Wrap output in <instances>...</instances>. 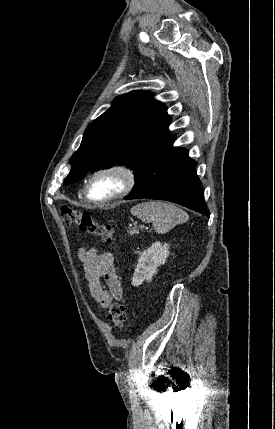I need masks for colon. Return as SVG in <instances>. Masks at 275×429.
<instances>
[{
	"instance_id": "colon-1",
	"label": "colon",
	"mask_w": 275,
	"mask_h": 429,
	"mask_svg": "<svg viewBox=\"0 0 275 429\" xmlns=\"http://www.w3.org/2000/svg\"><path fill=\"white\" fill-rule=\"evenodd\" d=\"M61 217L67 227H77L80 231L91 234L105 243L113 239V228L109 224L96 221L88 212L61 206ZM108 318L115 328L121 330L126 321V307L123 303H113L108 308Z\"/></svg>"
}]
</instances>
